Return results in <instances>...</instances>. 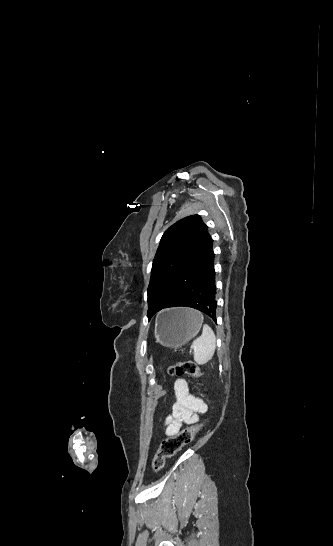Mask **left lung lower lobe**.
Listing matches in <instances>:
<instances>
[{"label":"left lung lower lobe","instance_id":"obj_1","mask_svg":"<svg viewBox=\"0 0 333 546\" xmlns=\"http://www.w3.org/2000/svg\"><path fill=\"white\" fill-rule=\"evenodd\" d=\"M202 263V270L194 267ZM214 269L213 240L207 234L197 257L177 277L169 290V296L161 309L186 306L207 314L216 323V278Z\"/></svg>","mask_w":333,"mask_h":546}]
</instances>
